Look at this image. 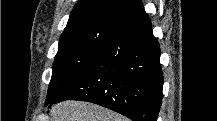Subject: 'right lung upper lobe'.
Wrapping results in <instances>:
<instances>
[{
  "label": "right lung upper lobe",
  "instance_id": "cb5924a9",
  "mask_svg": "<svg viewBox=\"0 0 217 121\" xmlns=\"http://www.w3.org/2000/svg\"><path fill=\"white\" fill-rule=\"evenodd\" d=\"M142 12L144 8L140 0H79L70 14L64 32L97 20L128 23Z\"/></svg>",
  "mask_w": 217,
  "mask_h": 121
}]
</instances>
